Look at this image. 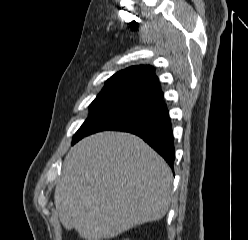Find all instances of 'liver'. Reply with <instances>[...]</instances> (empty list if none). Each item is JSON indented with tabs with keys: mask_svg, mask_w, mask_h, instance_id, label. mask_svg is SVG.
<instances>
[{
	"mask_svg": "<svg viewBox=\"0 0 248 240\" xmlns=\"http://www.w3.org/2000/svg\"><path fill=\"white\" fill-rule=\"evenodd\" d=\"M172 182L170 167L142 139L102 132L68 152L54 202L67 230L86 240L110 239L163 218Z\"/></svg>",
	"mask_w": 248,
	"mask_h": 240,
	"instance_id": "1",
	"label": "liver"
}]
</instances>
